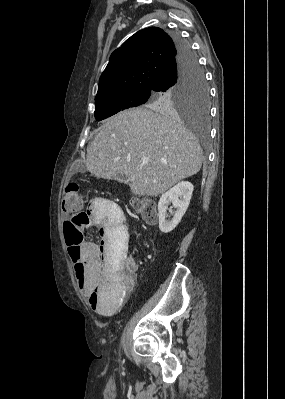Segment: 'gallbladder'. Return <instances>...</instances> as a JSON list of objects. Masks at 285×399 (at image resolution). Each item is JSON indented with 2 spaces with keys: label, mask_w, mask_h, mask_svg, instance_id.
Returning <instances> with one entry per match:
<instances>
[{
  "label": "gallbladder",
  "mask_w": 285,
  "mask_h": 399,
  "mask_svg": "<svg viewBox=\"0 0 285 399\" xmlns=\"http://www.w3.org/2000/svg\"><path fill=\"white\" fill-rule=\"evenodd\" d=\"M112 179L118 182L127 183V177L122 173L115 174Z\"/></svg>",
  "instance_id": "gallbladder-1"
}]
</instances>
